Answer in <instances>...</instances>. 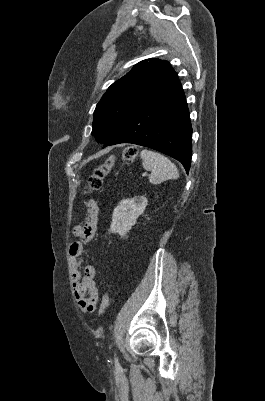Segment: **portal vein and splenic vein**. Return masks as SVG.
<instances>
[{
    "instance_id": "obj_1",
    "label": "portal vein and splenic vein",
    "mask_w": 265,
    "mask_h": 401,
    "mask_svg": "<svg viewBox=\"0 0 265 401\" xmlns=\"http://www.w3.org/2000/svg\"><path fill=\"white\" fill-rule=\"evenodd\" d=\"M149 175V172H143L142 176Z\"/></svg>"
}]
</instances>
